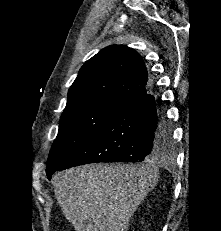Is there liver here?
<instances>
[{
	"instance_id": "liver-1",
	"label": "liver",
	"mask_w": 221,
	"mask_h": 231,
	"mask_svg": "<svg viewBox=\"0 0 221 231\" xmlns=\"http://www.w3.org/2000/svg\"><path fill=\"white\" fill-rule=\"evenodd\" d=\"M158 178L150 164H89L57 173L53 185L76 231H127Z\"/></svg>"
}]
</instances>
